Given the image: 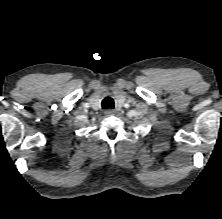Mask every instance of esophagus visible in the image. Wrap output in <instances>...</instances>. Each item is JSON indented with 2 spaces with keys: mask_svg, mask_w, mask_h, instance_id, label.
<instances>
[{
  "mask_svg": "<svg viewBox=\"0 0 222 219\" xmlns=\"http://www.w3.org/2000/svg\"><path fill=\"white\" fill-rule=\"evenodd\" d=\"M112 114H114V110H112V109H107V110L105 111V115H106V116H110V115H112Z\"/></svg>",
  "mask_w": 222,
  "mask_h": 219,
  "instance_id": "esophagus-1",
  "label": "esophagus"
}]
</instances>
